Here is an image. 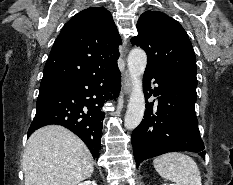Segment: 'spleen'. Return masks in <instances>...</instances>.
Returning a JSON list of instances; mask_svg holds the SVG:
<instances>
[{"mask_svg":"<svg viewBox=\"0 0 233 185\" xmlns=\"http://www.w3.org/2000/svg\"><path fill=\"white\" fill-rule=\"evenodd\" d=\"M158 174L175 185H202L200 170L196 162L183 153L163 154L153 160Z\"/></svg>","mask_w":233,"mask_h":185,"instance_id":"obj_1","label":"spleen"}]
</instances>
